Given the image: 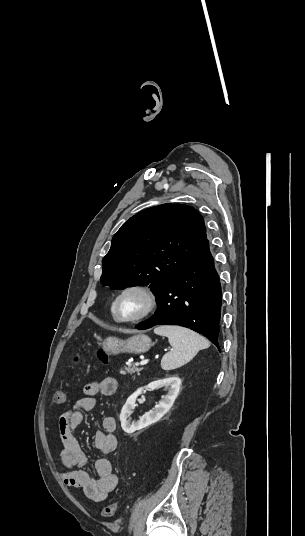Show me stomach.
Segmentation results:
<instances>
[{"instance_id": "0dacf381", "label": "stomach", "mask_w": 305, "mask_h": 536, "mask_svg": "<svg viewBox=\"0 0 305 536\" xmlns=\"http://www.w3.org/2000/svg\"><path fill=\"white\" fill-rule=\"evenodd\" d=\"M104 352L108 356H116V354H122V352H128V354H144L148 352L151 346V338L145 336V334H136L128 340H119V338H106L101 344Z\"/></svg>"}]
</instances>
